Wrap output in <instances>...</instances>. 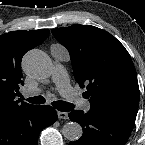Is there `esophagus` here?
<instances>
[{
    "label": "esophagus",
    "mask_w": 145,
    "mask_h": 145,
    "mask_svg": "<svg viewBox=\"0 0 145 145\" xmlns=\"http://www.w3.org/2000/svg\"><path fill=\"white\" fill-rule=\"evenodd\" d=\"M57 115H58L59 119H68V113H66V112L58 111Z\"/></svg>",
    "instance_id": "34e87169"
}]
</instances>
